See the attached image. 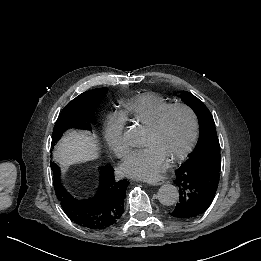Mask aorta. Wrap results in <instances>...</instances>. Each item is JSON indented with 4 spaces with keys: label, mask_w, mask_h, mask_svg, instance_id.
I'll return each mask as SVG.
<instances>
[{
    "label": "aorta",
    "mask_w": 261,
    "mask_h": 261,
    "mask_svg": "<svg viewBox=\"0 0 261 261\" xmlns=\"http://www.w3.org/2000/svg\"><path fill=\"white\" fill-rule=\"evenodd\" d=\"M124 138L131 146H139L142 141V130L139 127H130L124 132ZM158 200L165 206L174 205L179 200V192L176 186L164 184L158 190Z\"/></svg>",
    "instance_id": "762f6f07"
}]
</instances>
